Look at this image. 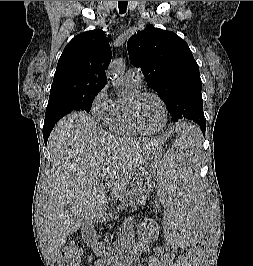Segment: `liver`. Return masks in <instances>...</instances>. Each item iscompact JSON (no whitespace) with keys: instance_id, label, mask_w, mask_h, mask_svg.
Masks as SVG:
<instances>
[{"instance_id":"obj_1","label":"liver","mask_w":253,"mask_h":266,"mask_svg":"<svg viewBox=\"0 0 253 266\" xmlns=\"http://www.w3.org/2000/svg\"><path fill=\"white\" fill-rule=\"evenodd\" d=\"M164 141L110 134L84 112L68 114L55 125L48 139L51 171L41 201V226L53 259L68 236L107 216L101 181L109 179L115 203L146 156Z\"/></svg>"}]
</instances>
